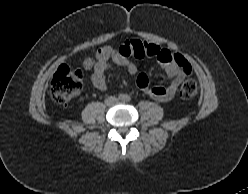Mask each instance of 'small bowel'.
<instances>
[{
  "label": "small bowel",
  "instance_id": "c3829d8e",
  "mask_svg": "<svg viewBox=\"0 0 248 194\" xmlns=\"http://www.w3.org/2000/svg\"><path fill=\"white\" fill-rule=\"evenodd\" d=\"M134 42H125L120 49L104 46L97 50L94 58H85L83 68L85 71L93 70L91 82L94 87L99 90H105L107 88L105 73L114 64L124 67L131 74L136 73V66L129 59L130 56H134ZM150 44L152 53L146 56L155 57L163 67L166 75L171 78V81L166 86H154L150 83L148 76L141 73L137 76V86L147 95L158 101H169L175 96L178 87L189 72V64L180 55L161 49L155 44Z\"/></svg>",
  "mask_w": 248,
  "mask_h": 194
}]
</instances>
